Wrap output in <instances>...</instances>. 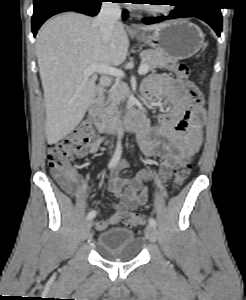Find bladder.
<instances>
[{
    "instance_id": "obj_1",
    "label": "bladder",
    "mask_w": 246,
    "mask_h": 300,
    "mask_svg": "<svg viewBox=\"0 0 246 300\" xmlns=\"http://www.w3.org/2000/svg\"><path fill=\"white\" fill-rule=\"evenodd\" d=\"M98 252L119 261L136 259L142 248L134 232L125 227H113L101 231L96 241Z\"/></svg>"
}]
</instances>
